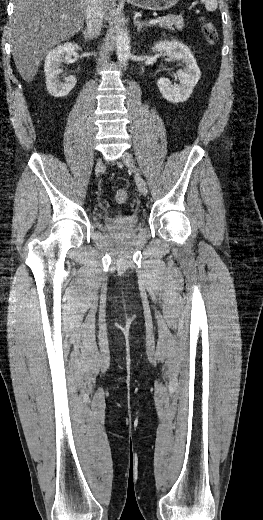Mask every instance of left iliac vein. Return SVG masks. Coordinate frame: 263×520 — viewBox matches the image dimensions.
<instances>
[{"instance_id":"1","label":"left iliac vein","mask_w":263,"mask_h":520,"mask_svg":"<svg viewBox=\"0 0 263 520\" xmlns=\"http://www.w3.org/2000/svg\"><path fill=\"white\" fill-rule=\"evenodd\" d=\"M122 161L129 169H131L135 173V180L138 190L142 195L146 196L148 193L147 184L140 175L138 169L136 168L133 156L129 152H124L122 155Z\"/></svg>"}]
</instances>
